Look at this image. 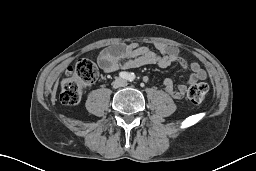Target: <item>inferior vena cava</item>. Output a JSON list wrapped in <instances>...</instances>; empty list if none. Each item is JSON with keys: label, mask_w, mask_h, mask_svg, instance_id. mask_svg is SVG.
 I'll use <instances>...</instances> for the list:
<instances>
[{"label": "inferior vena cava", "mask_w": 256, "mask_h": 171, "mask_svg": "<svg viewBox=\"0 0 256 171\" xmlns=\"http://www.w3.org/2000/svg\"><path fill=\"white\" fill-rule=\"evenodd\" d=\"M124 86H126V80L122 78H116V80L113 82L114 88L124 87Z\"/></svg>", "instance_id": "inferior-vena-cava-1"}]
</instances>
